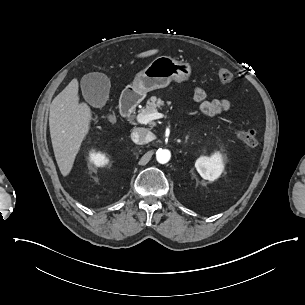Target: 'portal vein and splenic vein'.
I'll return each mask as SVG.
<instances>
[{
  "instance_id": "obj_1",
  "label": "portal vein and splenic vein",
  "mask_w": 305,
  "mask_h": 305,
  "mask_svg": "<svg viewBox=\"0 0 305 305\" xmlns=\"http://www.w3.org/2000/svg\"><path fill=\"white\" fill-rule=\"evenodd\" d=\"M163 116L157 110H153V112H142L137 115V121L141 124H147L152 120L163 118Z\"/></svg>"
}]
</instances>
